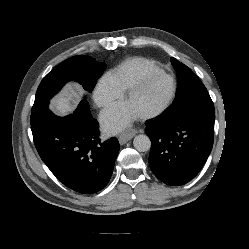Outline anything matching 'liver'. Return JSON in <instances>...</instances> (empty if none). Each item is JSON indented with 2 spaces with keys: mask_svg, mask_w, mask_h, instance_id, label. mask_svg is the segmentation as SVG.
Wrapping results in <instances>:
<instances>
[{
  "mask_svg": "<svg viewBox=\"0 0 249 249\" xmlns=\"http://www.w3.org/2000/svg\"><path fill=\"white\" fill-rule=\"evenodd\" d=\"M79 91L78 88L69 86L68 90L52 100L53 109L60 114L71 112L76 106L75 99L79 98Z\"/></svg>",
  "mask_w": 249,
  "mask_h": 249,
  "instance_id": "6515ba94",
  "label": "liver"
}]
</instances>
